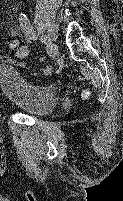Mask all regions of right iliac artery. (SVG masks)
I'll return each mask as SVG.
<instances>
[{
  "mask_svg": "<svg viewBox=\"0 0 123 201\" xmlns=\"http://www.w3.org/2000/svg\"><path fill=\"white\" fill-rule=\"evenodd\" d=\"M19 23L21 26V30L23 31V33L25 34V36L31 40H36V35L35 32L33 31V28L30 25V22L27 18V16L24 13H21L19 15ZM52 71V67L51 66H47L44 69V74L48 75L50 74Z\"/></svg>",
  "mask_w": 123,
  "mask_h": 201,
  "instance_id": "right-iliac-artery-1",
  "label": "right iliac artery"
}]
</instances>
